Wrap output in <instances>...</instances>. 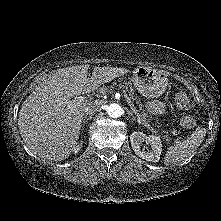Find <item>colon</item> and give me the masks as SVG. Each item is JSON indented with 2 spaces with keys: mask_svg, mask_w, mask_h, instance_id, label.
I'll use <instances>...</instances> for the list:
<instances>
[{
  "mask_svg": "<svg viewBox=\"0 0 221 221\" xmlns=\"http://www.w3.org/2000/svg\"><path fill=\"white\" fill-rule=\"evenodd\" d=\"M175 104L177 107L183 110H191L193 108V102L189 97V94L184 88H179L175 92ZM196 122L193 116L186 114L181 119V126L186 129H191L195 126Z\"/></svg>",
  "mask_w": 221,
  "mask_h": 221,
  "instance_id": "5ec220e1",
  "label": "colon"
}]
</instances>
